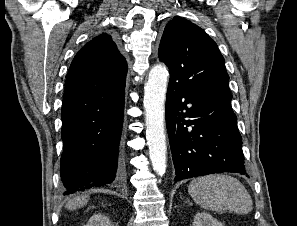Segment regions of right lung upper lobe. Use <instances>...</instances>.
<instances>
[{
	"label": "right lung upper lobe",
	"instance_id": "obj_1",
	"mask_svg": "<svg viewBox=\"0 0 297 226\" xmlns=\"http://www.w3.org/2000/svg\"><path fill=\"white\" fill-rule=\"evenodd\" d=\"M127 64L108 34L88 42L74 57L66 78L64 98L125 86Z\"/></svg>",
	"mask_w": 297,
	"mask_h": 226
}]
</instances>
